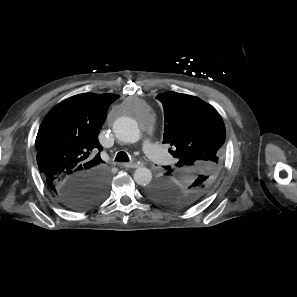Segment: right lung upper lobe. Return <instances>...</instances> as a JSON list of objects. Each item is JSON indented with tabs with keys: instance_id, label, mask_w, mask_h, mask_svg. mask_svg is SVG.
Here are the masks:
<instances>
[{
	"instance_id": "obj_1",
	"label": "right lung upper lobe",
	"mask_w": 297,
	"mask_h": 297,
	"mask_svg": "<svg viewBox=\"0 0 297 297\" xmlns=\"http://www.w3.org/2000/svg\"><path fill=\"white\" fill-rule=\"evenodd\" d=\"M118 98L114 94H79L46 115L35 145L39 170L52 193L81 175L106 172L98 134L109 105Z\"/></svg>"
}]
</instances>
